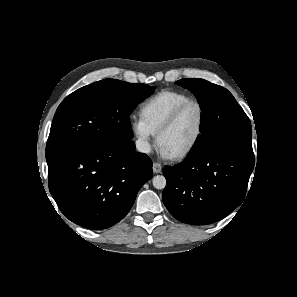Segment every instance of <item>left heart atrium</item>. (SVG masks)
Here are the masks:
<instances>
[{
	"label": "left heart atrium",
	"instance_id": "left-heart-atrium-1",
	"mask_svg": "<svg viewBox=\"0 0 297 297\" xmlns=\"http://www.w3.org/2000/svg\"><path fill=\"white\" fill-rule=\"evenodd\" d=\"M159 152L163 157H166V158H169L172 156V154L160 144H159Z\"/></svg>",
	"mask_w": 297,
	"mask_h": 297
}]
</instances>
